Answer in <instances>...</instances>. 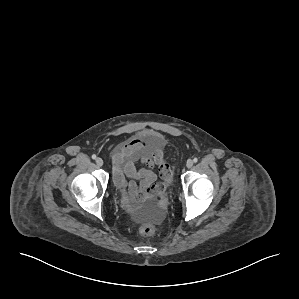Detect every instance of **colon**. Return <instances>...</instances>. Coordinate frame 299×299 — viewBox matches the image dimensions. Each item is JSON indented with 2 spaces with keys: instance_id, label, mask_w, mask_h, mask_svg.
I'll use <instances>...</instances> for the list:
<instances>
[{
  "instance_id": "5ec220e1",
  "label": "colon",
  "mask_w": 299,
  "mask_h": 299,
  "mask_svg": "<svg viewBox=\"0 0 299 299\" xmlns=\"http://www.w3.org/2000/svg\"><path fill=\"white\" fill-rule=\"evenodd\" d=\"M157 226L153 223H149V224H146L144 225L142 228H141V233L144 235V236H153L157 233Z\"/></svg>"
}]
</instances>
